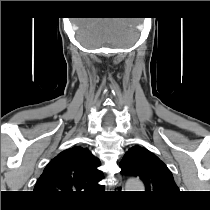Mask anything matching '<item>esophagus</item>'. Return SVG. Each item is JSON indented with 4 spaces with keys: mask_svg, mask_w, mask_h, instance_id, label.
Masks as SVG:
<instances>
[{
    "mask_svg": "<svg viewBox=\"0 0 210 210\" xmlns=\"http://www.w3.org/2000/svg\"><path fill=\"white\" fill-rule=\"evenodd\" d=\"M118 185L117 188L123 189V180L122 177L118 176Z\"/></svg>",
    "mask_w": 210,
    "mask_h": 210,
    "instance_id": "obj_1",
    "label": "esophagus"
}]
</instances>
